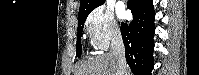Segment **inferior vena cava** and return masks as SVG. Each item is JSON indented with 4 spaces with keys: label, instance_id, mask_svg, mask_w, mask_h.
Segmentation results:
<instances>
[{
    "label": "inferior vena cava",
    "instance_id": "1",
    "mask_svg": "<svg viewBox=\"0 0 199 75\" xmlns=\"http://www.w3.org/2000/svg\"><path fill=\"white\" fill-rule=\"evenodd\" d=\"M111 53L115 57L118 65L116 75H125L127 67L125 59V47L123 44L121 33L118 31H116L112 37Z\"/></svg>",
    "mask_w": 199,
    "mask_h": 75
}]
</instances>
